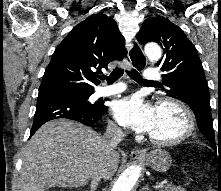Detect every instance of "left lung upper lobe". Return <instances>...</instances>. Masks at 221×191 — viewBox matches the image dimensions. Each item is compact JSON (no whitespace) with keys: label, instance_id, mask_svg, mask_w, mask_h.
I'll use <instances>...</instances> for the list:
<instances>
[{"label":"left lung upper lobe","instance_id":"left-lung-upper-lobe-1","mask_svg":"<svg viewBox=\"0 0 221 191\" xmlns=\"http://www.w3.org/2000/svg\"><path fill=\"white\" fill-rule=\"evenodd\" d=\"M136 38L142 44L148 42L160 44L164 55L157 65L165 72L162 80L166 88L163 90L167 96L180 99L191 107L199 130L215 149L211 109L207 114L201 113L196 103L198 96L204 95L209 98L210 96L204 69L195 46L177 25L162 16L146 19Z\"/></svg>","mask_w":221,"mask_h":191}]
</instances>
